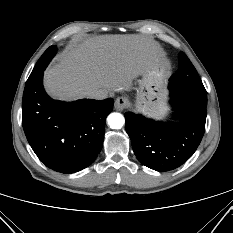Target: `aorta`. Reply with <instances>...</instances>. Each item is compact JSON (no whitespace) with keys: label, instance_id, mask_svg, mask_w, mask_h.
Instances as JSON below:
<instances>
[{"label":"aorta","instance_id":"obj_1","mask_svg":"<svg viewBox=\"0 0 233 233\" xmlns=\"http://www.w3.org/2000/svg\"><path fill=\"white\" fill-rule=\"evenodd\" d=\"M107 122L112 129H121L125 123V119L120 113H111L107 117Z\"/></svg>","mask_w":233,"mask_h":233}]
</instances>
